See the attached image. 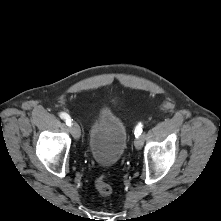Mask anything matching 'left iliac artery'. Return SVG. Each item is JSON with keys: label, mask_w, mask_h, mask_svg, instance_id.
I'll use <instances>...</instances> for the list:
<instances>
[{"label": "left iliac artery", "mask_w": 221, "mask_h": 221, "mask_svg": "<svg viewBox=\"0 0 221 221\" xmlns=\"http://www.w3.org/2000/svg\"><path fill=\"white\" fill-rule=\"evenodd\" d=\"M141 133H142V125H141V123H140V124H138V125L136 126V128H135V132H134L135 137H136V138L139 137V136L141 135Z\"/></svg>", "instance_id": "1"}]
</instances>
